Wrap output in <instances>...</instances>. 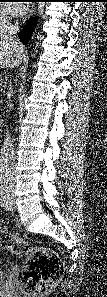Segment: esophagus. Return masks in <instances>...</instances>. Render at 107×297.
<instances>
[{"instance_id":"esophagus-1","label":"esophagus","mask_w":107,"mask_h":297,"mask_svg":"<svg viewBox=\"0 0 107 297\" xmlns=\"http://www.w3.org/2000/svg\"><path fill=\"white\" fill-rule=\"evenodd\" d=\"M35 7H32V9L30 10V14H32L34 12Z\"/></svg>"}]
</instances>
